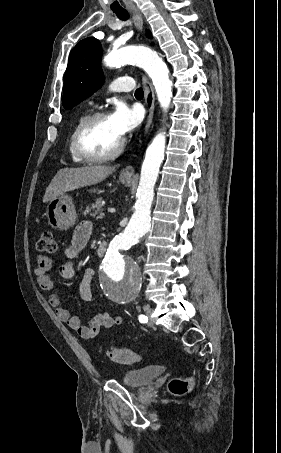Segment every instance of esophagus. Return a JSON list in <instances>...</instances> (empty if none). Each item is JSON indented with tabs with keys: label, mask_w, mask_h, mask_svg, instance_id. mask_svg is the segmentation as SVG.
Returning a JSON list of instances; mask_svg holds the SVG:
<instances>
[{
	"label": "esophagus",
	"mask_w": 281,
	"mask_h": 453,
	"mask_svg": "<svg viewBox=\"0 0 281 453\" xmlns=\"http://www.w3.org/2000/svg\"><path fill=\"white\" fill-rule=\"evenodd\" d=\"M133 14V20L135 29L139 32L142 30L143 26V17L142 14L137 9L131 10ZM142 82L145 92V105H146V119H145V127H144V135H146L151 127L153 114H154V91L152 88L151 83L149 82L148 78L143 75ZM122 173L125 175H132L134 173V168L131 165L123 168Z\"/></svg>",
	"instance_id": "34e87169"
}]
</instances>
